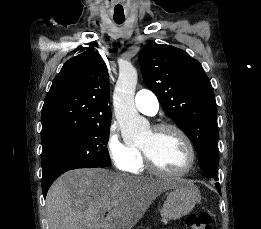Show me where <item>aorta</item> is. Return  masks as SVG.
Here are the masks:
<instances>
[{
	"mask_svg": "<svg viewBox=\"0 0 261 229\" xmlns=\"http://www.w3.org/2000/svg\"><path fill=\"white\" fill-rule=\"evenodd\" d=\"M137 78V70L132 64L121 66L113 92V106L122 133H128L133 141L139 143L151 133H149L150 125L147 119L140 117L135 106L134 94Z\"/></svg>",
	"mask_w": 261,
	"mask_h": 229,
	"instance_id": "aorta-1",
	"label": "aorta"
}]
</instances>
